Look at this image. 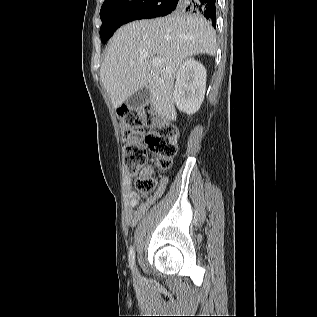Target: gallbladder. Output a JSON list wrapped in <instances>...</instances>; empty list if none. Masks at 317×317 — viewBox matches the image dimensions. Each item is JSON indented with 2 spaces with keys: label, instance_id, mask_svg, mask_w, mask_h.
<instances>
[{
  "label": "gallbladder",
  "instance_id": "bac80fb5",
  "mask_svg": "<svg viewBox=\"0 0 317 317\" xmlns=\"http://www.w3.org/2000/svg\"><path fill=\"white\" fill-rule=\"evenodd\" d=\"M151 98L148 87H144L132 94L126 101L128 108L139 109L146 106Z\"/></svg>",
  "mask_w": 317,
  "mask_h": 317
}]
</instances>
